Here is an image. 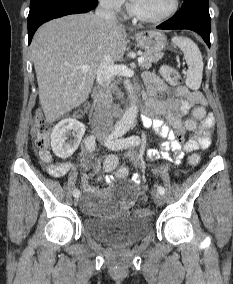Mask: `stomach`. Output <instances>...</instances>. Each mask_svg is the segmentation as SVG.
Returning <instances> with one entry per match:
<instances>
[{
  "instance_id": "obj_1",
  "label": "stomach",
  "mask_w": 233,
  "mask_h": 284,
  "mask_svg": "<svg viewBox=\"0 0 233 284\" xmlns=\"http://www.w3.org/2000/svg\"><path fill=\"white\" fill-rule=\"evenodd\" d=\"M135 38L139 46L149 53H160L166 48V36L156 30H143L136 32Z\"/></svg>"
}]
</instances>
